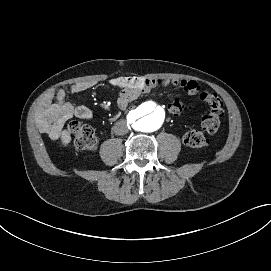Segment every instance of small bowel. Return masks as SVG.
I'll return each mask as SVG.
<instances>
[{
	"label": "small bowel",
	"instance_id": "1",
	"mask_svg": "<svg viewBox=\"0 0 271 271\" xmlns=\"http://www.w3.org/2000/svg\"><path fill=\"white\" fill-rule=\"evenodd\" d=\"M110 84L121 90L117 104L122 109H125L141 94L154 88L177 86L193 96L199 95L201 92L200 86L195 81L188 79L118 77L110 80ZM94 85V82L89 81L76 83L71 86L70 94H79ZM73 117L91 120L94 114L90 108L78 104L73 98H68L67 92L63 88H54L41 99L35 113V123L42 133L66 145L70 140V132L65 125Z\"/></svg>",
	"mask_w": 271,
	"mask_h": 271
}]
</instances>
